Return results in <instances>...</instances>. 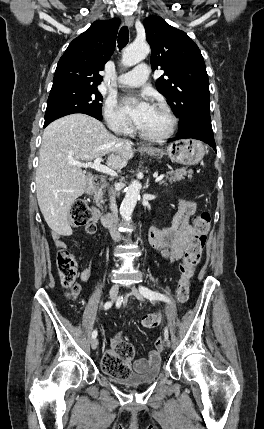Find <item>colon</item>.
Listing matches in <instances>:
<instances>
[{
	"instance_id": "1",
	"label": "colon",
	"mask_w": 264,
	"mask_h": 429,
	"mask_svg": "<svg viewBox=\"0 0 264 429\" xmlns=\"http://www.w3.org/2000/svg\"><path fill=\"white\" fill-rule=\"evenodd\" d=\"M92 214V210L85 201L77 200L73 203L70 211V223L74 227L88 226L92 223ZM209 225L210 214L208 212H202L193 219V226L198 233V237L186 249L179 266L180 276L175 290L178 304L185 303L189 297L191 280L201 260ZM56 264L61 285L68 290L71 298H76L80 292V286L77 283V263L74 255L66 248H58ZM159 322L158 315L154 313L145 314L141 320L142 326L147 329L156 327ZM155 347L158 350L163 349L164 342L161 338L155 340ZM132 357V346L127 343H120L114 347L112 354L107 353L103 356L102 369L107 374L116 377L127 376L130 373L127 363Z\"/></svg>"
}]
</instances>
